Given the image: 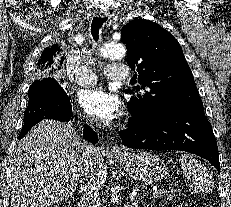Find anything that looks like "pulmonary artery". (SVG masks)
I'll return each mask as SVG.
<instances>
[{"label":"pulmonary artery","instance_id":"e3ab8cb5","mask_svg":"<svg viewBox=\"0 0 231 207\" xmlns=\"http://www.w3.org/2000/svg\"><path fill=\"white\" fill-rule=\"evenodd\" d=\"M105 75L111 80H126L130 77V70L125 65L112 64L105 68ZM96 81V74L85 66L80 67L75 76V82L80 86H91Z\"/></svg>","mask_w":231,"mask_h":207}]
</instances>
